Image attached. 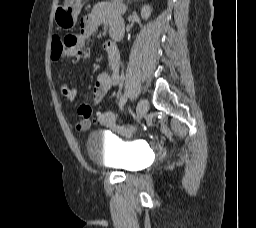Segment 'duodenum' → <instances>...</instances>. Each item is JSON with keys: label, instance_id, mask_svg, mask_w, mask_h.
Returning a JSON list of instances; mask_svg holds the SVG:
<instances>
[{"label": "duodenum", "instance_id": "duodenum-1", "mask_svg": "<svg viewBox=\"0 0 256 228\" xmlns=\"http://www.w3.org/2000/svg\"><path fill=\"white\" fill-rule=\"evenodd\" d=\"M111 35L115 39H120L123 35V29L121 27L114 26L112 28Z\"/></svg>", "mask_w": 256, "mask_h": 228}]
</instances>
